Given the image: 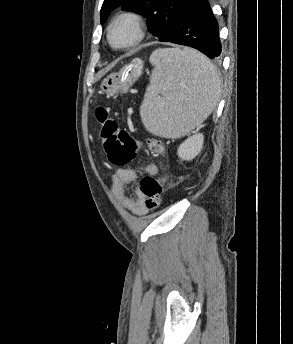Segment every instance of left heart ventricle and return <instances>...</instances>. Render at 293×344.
I'll return each instance as SVG.
<instances>
[{
	"instance_id": "obj_1",
	"label": "left heart ventricle",
	"mask_w": 293,
	"mask_h": 344,
	"mask_svg": "<svg viewBox=\"0 0 293 344\" xmlns=\"http://www.w3.org/2000/svg\"><path fill=\"white\" fill-rule=\"evenodd\" d=\"M133 38H134L133 27L127 22L119 23L112 30V40L116 45L127 44Z\"/></svg>"
}]
</instances>
